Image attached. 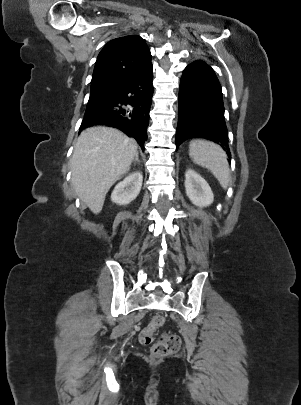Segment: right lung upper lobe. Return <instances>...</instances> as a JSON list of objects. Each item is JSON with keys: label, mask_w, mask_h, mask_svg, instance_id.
Instances as JSON below:
<instances>
[{"label": "right lung upper lobe", "mask_w": 301, "mask_h": 405, "mask_svg": "<svg viewBox=\"0 0 301 405\" xmlns=\"http://www.w3.org/2000/svg\"><path fill=\"white\" fill-rule=\"evenodd\" d=\"M150 60V50L144 39L138 35L109 41L95 63L91 92H115Z\"/></svg>", "instance_id": "obj_1"}]
</instances>
